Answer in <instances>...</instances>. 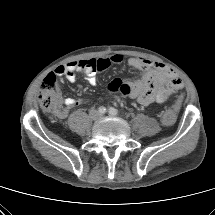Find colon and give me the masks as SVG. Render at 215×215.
<instances>
[{
	"mask_svg": "<svg viewBox=\"0 0 215 215\" xmlns=\"http://www.w3.org/2000/svg\"><path fill=\"white\" fill-rule=\"evenodd\" d=\"M39 101L46 112H59L60 90L56 76L53 73L45 77L39 94ZM175 118V113L172 110H168L163 114L162 122L164 125H172Z\"/></svg>",
	"mask_w": 215,
	"mask_h": 215,
	"instance_id": "5ec220e1",
	"label": "colon"
}]
</instances>
